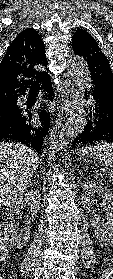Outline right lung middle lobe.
Masks as SVG:
<instances>
[{"label":"right lung middle lobe","instance_id":"right-lung-middle-lobe-1","mask_svg":"<svg viewBox=\"0 0 113 279\" xmlns=\"http://www.w3.org/2000/svg\"><path fill=\"white\" fill-rule=\"evenodd\" d=\"M20 113L16 104L0 109V125L13 121Z\"/></svg>","mask_w":113,"mask_h":279}]
</instances>
